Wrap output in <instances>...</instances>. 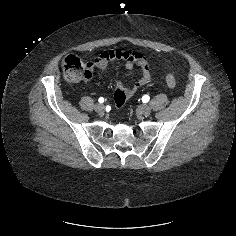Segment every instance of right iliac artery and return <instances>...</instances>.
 I'll use <instances>...</instances> for the list:
<instances>
[{"label":"right iliac artery","mask_w":236,"mask_h":236,"mask_svg":"<svg viewBox=\"0 0 236 236\" xmlns=\"http://www.w3.org/2000/svg\"><path fill=\"white\" fill-rule=\"evenodd\" d=\"M98 101H99V103H103L104 102V98L100 97Z\"/></svg>","instance_id":"obj_1"}]
</instances>
